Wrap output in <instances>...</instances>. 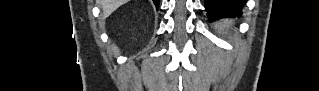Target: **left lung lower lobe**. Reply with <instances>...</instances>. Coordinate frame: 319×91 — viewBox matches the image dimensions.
<instances>
[{"label":"left lung lower lobe","instance_id":"obj_1","mask_svg":"<svg viewBox=\"0 0 319 91\" xmlns=\"http://www.w3.org/2000/svg\"><path fill=\"white\" fill-rule=\"evenodd\" d=\"M246 0H205V8L210 21L235 17L241 14V8Z\"/></svg>","mask_w":319,"mask_h":91}]
</instances>
